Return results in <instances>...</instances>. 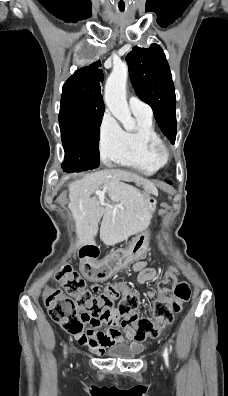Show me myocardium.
<instances>
[{"mask_svg":"<svg viewBox=\"0 0 228 396\" xmlns=\"http://www.w3.org/2000/svg\"><path fill=\"white\" fill-rule=\"evenodd\" d=\"M147 152L150 158L160 166L165 165L170 159L169 148L161 138L149 141Z\"/></svg>","mask_w":228,"mask_h":396,"instance_id":"obj_1","label":"myocardium"}]
</instances>
